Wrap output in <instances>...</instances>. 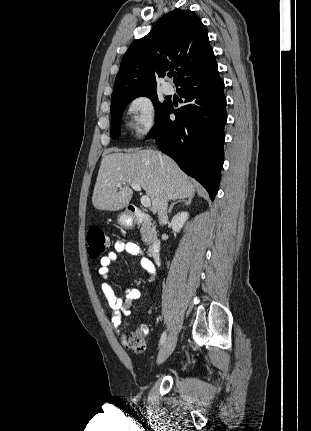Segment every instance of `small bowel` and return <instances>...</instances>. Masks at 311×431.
I'll return each instance as SVG.
<instances>
[{"instance_id":"small-bowel-1","label":"small bowel","mask_w":311,"mask_h":431,"mask_svg":"<svg viewBox=\"0 0 311 431\" xmlns=\"http://www.w3.org/2000/svg\"><path fill=\"white\" fill-rule=\"evenodd\" d=\"M127 252L128 254L138 257L141 267L150 275L154 274L155 267L153 263L142 253L138 244L134 242L117 241L114 245V251L100 259L99 276L102 278L101 289L107 304L113 310L111 323L118 329L121 325L122 316L131 314L135 302L142 297V293L136 288H127L124 290V298L118 297L109 283L110 266L118 258V253ZM122 343L126 345L127 339L123 336Z\"/></svg>"}]
</instances>
